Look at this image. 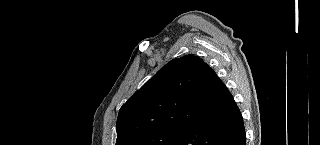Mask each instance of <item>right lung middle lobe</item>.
I'll return each instance as SVG.
<instances>
[{
  "mask_svg": "<svg viewBox=\"0 0 320 145\" xmlns=\"http://www.w3.org/2000/svg\"><path fill=\"white\" fill-rule=\"evenodd\" d=\"M183 130L184 128H172L152 132L132 145H169Z\"/></svg>",
  "mask_w": 320,
  "mask_h": 145,
  "instance_id": "obj_1",
  "label": "right lung middle lobe"
}]
</instances>
